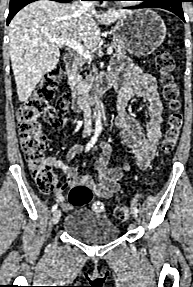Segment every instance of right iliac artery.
Instances as JSON below:
<instances>
[{"mask_svg": "<svg viewBox=\"0 0 193 287\" xmlns=\"http://www.w3.org/2000/svg\"><path fill=\"white\" fill-rule=\"evenodd\" d=\"M98 136H99V133L98 132H95L93 137L91 138V140L89 141V143L86 145L85 147V152L89 151L91 149V147H93V145L96 143V141L98 140ZM58 207V204H55L53 207H52V212L55 211Z\"/></svg>", "mask_w": 193, "mask_h": 287, "instance_id": "82829eb1", "label": "right iliac artery"}]
</instances>
